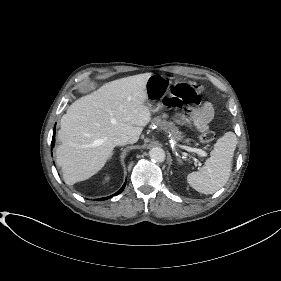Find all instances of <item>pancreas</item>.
<instances>
[{
  "label": "pancreas",
  "mask_w": 281,
  "mask_h": 281,
  "mask_svg": "<svg viewBox=\"0 0 281 281\" xmlns=\"http://www.w3.org/2000/svg\"><path fill=\"white\" fill-rule=\"evenodd\" d=\"M166 115H162L161 117H156L153 119L152 123L159 127L160 130L168 133L170 137L176 141L182 140V133L178 130L175 124L171 121H167Z\"/></svg>",
  "instance_id": "pancreas-1"
}]
</instances>
